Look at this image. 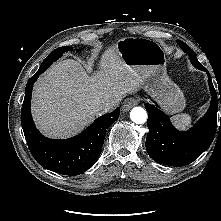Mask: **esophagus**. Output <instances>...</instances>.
I'll list each match as a JSON object with an SVG mask.
<instances>
[{"mask_svg": "<svg viewBox=\"0 0 221 221\" xmlns=\"http://www.w3.org/2000/svg\"><path fill=\"white\" fill-rule=\"evenodd\" d=\"M137 103H138V100L136 98H127V99H125L123 104H122V111L123 112L129 111Z\"/></svg>", "mask_w": 221, "mask_h": 221, "instance_id": "esophagus-1", "label": "esophagus"}]
</instances>
